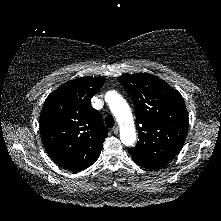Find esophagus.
Wrapping results in <instances>:
<instances>
[{
  "instance_id": "1",
  "label": "esophagus",
  "mask_w": 221,
  "mask_h": 221,
  "mask_svg": "<svg viewBox=\"0 0 221 221\" xmlns=\"http://www.w3.org/2000/svg\"><path fill=\"white\" fill-rule=\"evenodd\" d=\"M113 133L114 134H118L119 132V127L118 126H114L113 129H112Z\"/></svg>"
}]
</instances>
